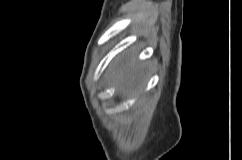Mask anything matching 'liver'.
I'll return each instance as SVG.
<instances>
[{
    "label": "liver",
    "mask_w": 242,
    "mask_h": 160,
    "mask_svg": "<svg viewBox=\"0 0 242 160\" xmlns=\"http://www.w3.org/2000/svg\"><path fill=\"white\" fill-rule=\"evenodd\" d=\"M143 76V68L136 63L135 57L129 54L118 57L112 69L113 80L122 98L139 92Z\"/></svg>",
    "instance_id": "obj_1"
}]
</instances>
